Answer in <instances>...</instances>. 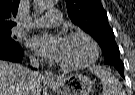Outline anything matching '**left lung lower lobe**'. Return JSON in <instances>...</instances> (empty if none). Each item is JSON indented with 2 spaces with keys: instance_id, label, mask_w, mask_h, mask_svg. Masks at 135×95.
Wrapping results in <instances>:
<instances>
[{
  "instance_id": "obj_1",
  "label": "left lung lower lobe",
  "mask_w": 135,
  "mask_h": 95,
  "mask_svg": "<svg viewBox=\"0 0 135 95\" xmlns=\"http://www.w3.org/2000/svg\"><path fill=\"white\" fill-rule=\"evenodd\" d=\"M106 64H108V63H106ZM109 65H113L119 71L120 75L122 77H124V67H119V66H117V64H109Z\"/></svg>"
}]
</instances>
